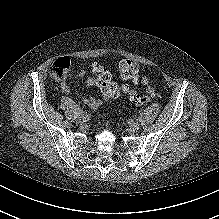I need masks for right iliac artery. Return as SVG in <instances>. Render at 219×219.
<instances>
[{
  "instance_id": "1",
  "label": "right iliac artery",
  "mask_w": 219,
  "mask_h": 219,
  "mask_svg": "<svg viewBox=\"0 0 219 219\" xmlns=\"http://www.w3.org/2000/svg\"><path fill=\"white\" fill-rule=\"evenodd\" d=\"M78 110H79V113H84L82 108H79Z\"/></svg>"
}]
</instances>
